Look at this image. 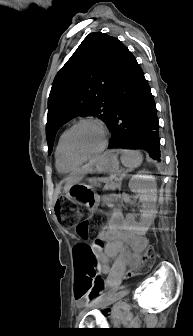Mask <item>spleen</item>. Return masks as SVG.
Returning <instances> with one entry per match:
<instances>
[{
    "mask_svg": "<svg viewBox=\"0 0 193 336\" xmlns=\"http://www.w3.org/2000/svg\"><path fill=\"white\" fill-rule=\"evenodd\" d=\"M143 160L142 155L137 151L126 150L121 156V162L129 168H136L141 165Z\"/></svg>",
    "mask_w": 193,
    "mask_h": 336,
    "instance_id": "spleen-1",
    "label": "spleen"
}]
</instances>
